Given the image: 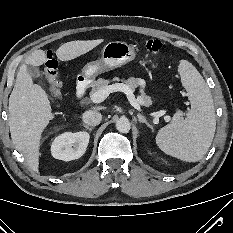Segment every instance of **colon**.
Wrapping results in <instances>:
<instances>
[{
	"mask_svg": "<svg viewBox=\"0 0 233 233\" xmlns=\"http://www.w3.org/2000/svg\"><path fill=\"white\" fill-rule=\"evenodd\" d=\"M140 46L151 53H158L162 49V42L158 39L141 40ZM43 78L51 89L54 98L59 96L60 82L57 77V64L53 55L47 54V61L43 68Z\"/></svg>",
	"mask_w": 233,
	"mask_h": 233,
	"instance_id": "obj_1",
	"label": "colon"
}]
</instances>
